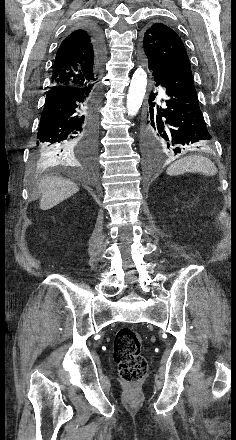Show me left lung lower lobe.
<instances>
[{"label":"left lung lower lobe","instance_id":"1","mask_svg":"<svg viewBox=\"0 0 236 440\" xmlns=\"http://www.w3.org/2000/svg\"><path fill=\"white\" fill-rule=\"evenodd\" d=\"M149 69L155 85L166 88V96L159 99L153 91L149 95L142 127L148 152L154 155L164 150L177 154L207 144L211 136L199 107L191 70L180 65H150Z\"/></svg>","mask_w":236,"mask_h":440}]
</instances>
